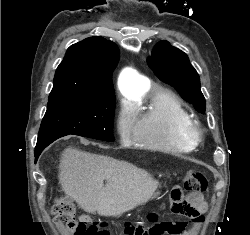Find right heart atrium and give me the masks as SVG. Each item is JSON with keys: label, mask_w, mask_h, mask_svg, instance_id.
<instances>
[{"label": "right heart atrium", "mask_w": 250, "mask_h": 235, "mask_svg": "<svg viewBox=\"0 0 250 235\" xmlns=\"http://www.w3.org/2000/svg\"><path fill=\"white\" fill-rule=\"evenodd\" d=\"M117 134L122 143L135 141L137 135V122L134 111L126 105H121L115 118Z\"/></svg>", "instance_id": "1"}]
</instances>
